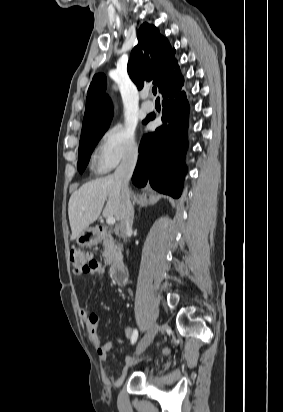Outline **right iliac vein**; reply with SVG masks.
<instances>
[{
    "label": "right iliac vein",
    "instance_id": "63e3f726",
    "mask_svg": "<svg viewBox=\"0 0 283 412\" xmlns=\"http://www.w3.org/2000/svg\"><path fill=\"white\" fill-rule=\"evenodd\" d=\"M157 330H158V325L156 323H152L147 333L145 334V336L141 339V341L137 345L136 352H135L136 356H139L140 354H142L145 351V349L150 345Z\"/></svg>",
    "mask_w": 283,
    "mask_h": 412
}]
</instances>
